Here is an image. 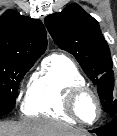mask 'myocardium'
Masks as SVG:
<instances>
[{"label": "myocardium", "instance_id": "obj_1", "mask_svg": "<svg viewBox=\"0 0 117 136\" xmlns=\"http://www.w3.org/2000/svg\"><path fill=\"white\" fill-rule=\"evenodd\" d=\"M87 95L91 96L94 99L97 107V115L93 121L84 120L78 112V104L80 99ZM64 109L66 113L74 120L86 125H92L96 123L102 115L101 100L97 92L87 85L73 87L66 93L64 100Z\"/></svg>", "mask_w": 117, "mask_h": 136}]
</instances>
